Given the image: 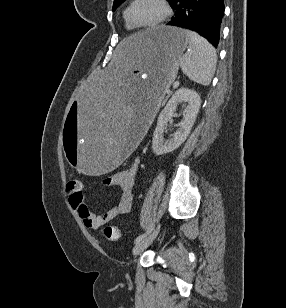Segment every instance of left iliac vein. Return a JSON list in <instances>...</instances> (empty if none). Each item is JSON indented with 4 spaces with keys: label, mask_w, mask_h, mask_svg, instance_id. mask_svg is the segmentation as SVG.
<instances>
[{
    "label": "left iliac vein",
    "mask_w": 286,
    "mask_h": 308,
    "mask_svg": "<svg viewBox=\"0 0 286 308\" xmlns=\"http://www.w3.org/2000/svg\"><path fill=\"white\" fill-rule=\"evenodd\" d=\"M160 230V225L158 224L145 238L137 242L133 248V254L139 255L142 253L157 237Z\"/></svg>",
    "instance_id": "left-iliac-vein-1"
}]
</instances>
